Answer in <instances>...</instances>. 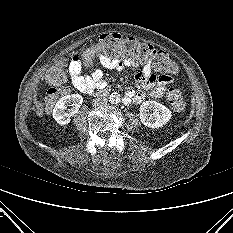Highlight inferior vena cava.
<instances>
[{
    "instance_id": "obj_1",
    "label": "inferior vena cava",
    "mask_w": 233,
    "mask_h": 233,
    "mask_svg": "<svg viewBox=\"0 0 233 233\" xmlns=\"http://www.w3.org/2000/svg\"><path fill=\"white\" fill-rule=\"evenodd\" d=\"M94 102H95V105L99 106V105L106 104L107 100L105 98H97Z\"/></svg>"
}]
</instances>
